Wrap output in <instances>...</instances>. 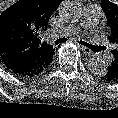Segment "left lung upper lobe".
<instances>
[{
	"label": "left lung upper lobe",
	"mask_w": 118,
	"mask_h": 118,
	"mask_svg": "<svg viewBox=\"0 0 118 118\" xmlns=\"http://www.w3.org/2000/svg\"><path fill=\"white\" fill-rule=\"evenodd\" d=\"M102 9L106 14L108 25L111 28L109 41L114 44V49L111 50L114 60L108 66V69L115 76H118V6L109 0H102Z\"/></svg>",
	"instance_id": "obj_1"
}]
</instances>
